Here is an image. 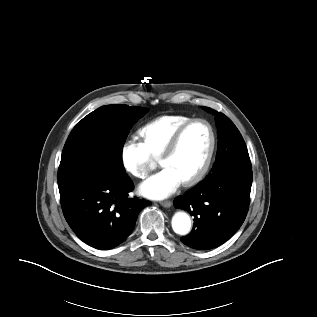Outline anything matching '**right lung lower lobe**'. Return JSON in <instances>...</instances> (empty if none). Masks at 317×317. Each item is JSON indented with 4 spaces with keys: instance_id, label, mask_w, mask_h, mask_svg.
Returning a JSON list of instances; mask_svg holds the SVG:
<instances>
[{
    "instance_id": "1",
    "label": "right lung lower lobe",
    "mask_w": 317,
    "mask_h": 317,
    "mask_svg": "<svg viewBox=\"0 0 317 317\" xmlns=\"http://www.w3.org/2000/svg\"><path fill=\"white\" fill-rule=\"evenodd\" d=\"M132 190L125 169L109 161L80 169L59 183L66 221L78 238L96 249H111L124 242L139 212L151 204L128 198Z\"/></svg>"
}]
</instances>
